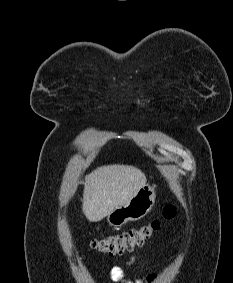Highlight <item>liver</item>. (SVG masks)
<instances>
[{
  "label": "liver",
  "instance_id": "6515ba94",
  "mask_svg": "<svg viewBox=\"0 0 233 283\" xmlns=\"http://www.w3.org/2000/svg\"><path fill=\"white\" fill-rule=\"evenodd\" d=\"M83 184L82 211L89 221L98 222L146 185V176L136 167L113 164L95 169Z\"/></svg>",
  "mask_w": 233,
  "mask_h": 283
}]
</instances>
